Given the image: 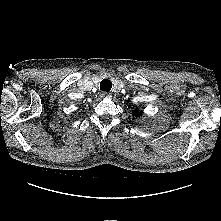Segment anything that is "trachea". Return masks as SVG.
Instances as JSON below:
<instances>
[{
    "mask_svg": "<svg viewBox=\"0 0 221 221\" xmlns=\"http://www.w3.org/2000/svg\"><path fill=\"white\" fill-rule=\"evenodd\" d=\"M112 88V82L109 79H103L100 82V89L105 92H109Z\"/></svg>",
    "mask_w": 221,
    "mask_h": 221,
    "instance_id": "obj_1",
    "label": "trachea"
}]
</instances>
